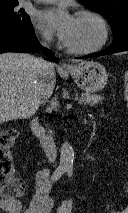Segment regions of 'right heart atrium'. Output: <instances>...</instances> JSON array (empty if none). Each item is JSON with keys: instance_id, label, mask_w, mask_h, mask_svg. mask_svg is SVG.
Instances as JSON below:
<instances>
[{"instance_id": "d8ad5b80", "label": "right heart atrium", "mask_w": 128, "mask_h": 213, "mask_svg": "<svg viewBox=\"0 0 128 213\" xmlns=\"http://www.w3.org/2000/svg\"><path fill=\"white\" fill-rule=\"evenodd\" d=\"M42 40L44 43L48 44L51 42V37L49 35L45 34L42 36Z\"/></svg>"}]
</instances>
